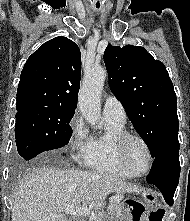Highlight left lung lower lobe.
I'll list each match as a JSON object with an SVG mask.
<instances>
[{
  "mask_svg": "<svg viewBox=\"0 0 190 221\" xmlns=\"http://www.w3.org/2000/svg\"><path fill=\"white\" fill-rule=\"evenodd\" d=\"M179 176V142H176L165 146L157 153L146 179L148 183L154 184L159 188L166 203L172 206Z\"/></svg>",
  "mask_w": 190,
  "mask_h": 221,
  "instance_id": "0a47b994",
  "label": "left lung lower lobe"
}]
</instances>
